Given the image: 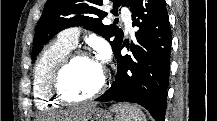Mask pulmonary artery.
I'll list each match as a JSON object with an SVG mask.
<instances>
[{
    "mask_svg": "<svg viewBox=\"0 0 217 121\" xmlns=\"http://www.w3.org/2000/svg\"><path fill=\"white\" fill-rule=\"evenodd\" d=\"M121 17H122V20L124 22L126 31L131 33L133 31V27H132V18H131L130 13L123 11L121 14ZM80 32H81V29L79 27H70V28L64 30L60 34V38L64 42H66L72 46H76Z\"/></svg>",
    "mask_w": 217,
    "mask_h": 121,
    "instance_id": "obj_1",
    "label": "pulmonary artery"
}]
</instances>
